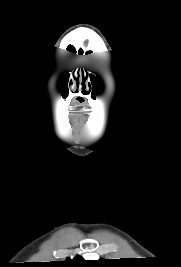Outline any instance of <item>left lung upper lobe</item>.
Masks as SVG:
<instances>
[{"mask_svg": "<svg viewBox=\"0 0 181 267\" xmlns=\"http://www.w3.org/2000/svg\"><path fill=\"white\" fill-rule=\"evenodd\" d=\"M99 261L102 263H108V262H106L107 260H105V259H100Z\"/></svg>", "mask_w": 181, "mask_h": 267, "instance_id": "1", "label": "left lung upper lobe"}]
</instances>
